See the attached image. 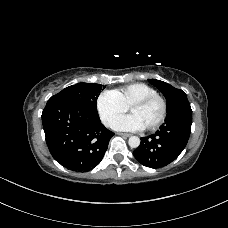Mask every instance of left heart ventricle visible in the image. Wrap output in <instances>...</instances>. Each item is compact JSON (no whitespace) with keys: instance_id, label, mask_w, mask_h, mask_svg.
Masks as SVG:
<instances>
[{"instance_id":"obj_1","label":"left heart ventricle","mask_w":228,"mask_h":228,"mask_svg":"<svg viewBox=\"0 0 228 228\" xmlns=\"http://www.w3.org/2000/svg\"><path fill=\"white\" fill-rule=\"evenodd\" d=\"M130 112L135 115L146 128L158 119L161 113V104L155 100L145 106L134 107Z\"/></svg>"}]
</instances>
